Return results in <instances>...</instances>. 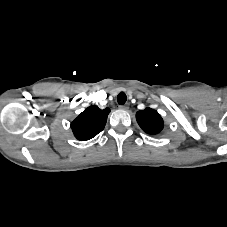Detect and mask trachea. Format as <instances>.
Segmentation results:
<instances>
[{"label": "trachea", "instance_id": "1", "mask_svg": "<svg viewBox=\"0 0 227 227\" xmlns=\"http://www.w3.org/2000/svg\"><path fill=\"white\" fill-rule=\"evenodd\" d=\"M127 100V96L124 92H120L117 96V102L118 104L123 105Z\"/></svg>", "mask_w": 227, "mask_h": 227}]
</instances>
